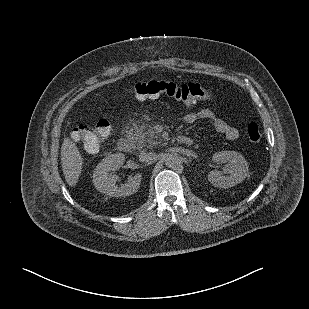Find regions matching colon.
I'll return each mask as SVG.
<instances>
[{
	"instance_id": "colon-1",
	"label": "colon",
	"mask_w": 309,
	"mask_h": 309,
	"mask_svg": "<svg viewBox=\"0 0 309 309\" xmlns=\"http://www.w3.org/2000/svg\"><path fill=\"white\" fill-rule=\"evenodd\" d=\"M135 96L140 99H156L162 95L192 105L196 102L210 99V92L198 83L179 85L171 81L153 80L149 82H138L134 85ZM111 126L107 119L100 118L79 125L76 129V139L81 140L87 151L93 150L110 135ZM248 138L252 142L261 140L259 126L251 122L246 128Z\"/></svg>"
}]
</instances>
